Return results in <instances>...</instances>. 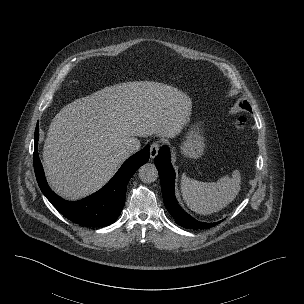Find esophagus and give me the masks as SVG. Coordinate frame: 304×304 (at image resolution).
Segmentation results:
<instances>
[{
    "instance_id": "34e87169",
    "label": "esophagus",
    "mask_w": 304,
    "mask_h": 304,
    "mask_svg": "<svg viewBox=\"0 0 304 304\" xmlns=\"http://www.w3.org/2000/svg\"><path fill=\"white\" fill-rule=\"evenodd\" d=\"M160 144L158 142H153L150 146V158L154 159L158 154Z\"/></svg>"
}]
</instances>
